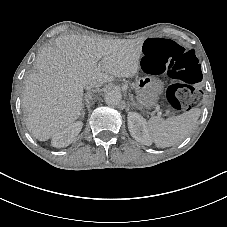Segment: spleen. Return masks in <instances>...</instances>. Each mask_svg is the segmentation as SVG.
<instances>
[{
    "instance_id": "1",
    "label": "spleen",
    "mask_w": 227,
    "mask_h": 227,
    "mask_svg": "<svg viewBox=\"0 0 227 227\" xmlns=\"http://www.w3.org/2000/svg\"><path fill=\"white\" fill-rule=\"evenodd\" d=\"M199 117V109L190 110L167 120L154 116L148 121L147 130L156 146L170 147L185 139Z\"/></svg>"
}]
</instances>
